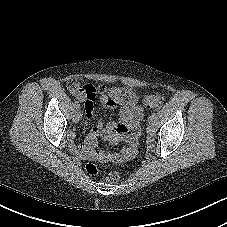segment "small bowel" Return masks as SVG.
Wrapping results in <instances>:
<instances>
[{
  "mask_svg": "<svg viewBox=\"0 0 227 227\" xmlns=\"http://www.w3.org/2000/svg\"><path fill=\"white\" fill-rule=\"evenodd\" d=\"M90 87H92V85L80 89L74 93V95L79 101L84 103L88 118L93 119L94 100L96 95H90ZM100 102L107 109H114L117 106V103L112 101L107 94H101ZM137 103L138 96L133 93L131 101L127 104H123L119 109L117 120L109 122L106 126H103L101 123L95 124L86 137L84 145L77 144L71 140V151L75 155L88 160L120 161L131 157L137 149L139 123L143 116L142 109ZM70 137L73 139L75 134L71 133ZM99 138L112 144L124 141L126 145L117 153L107 151L97 152L95 148Z\"/></svg>",
  "mask_w": 227,
  "mask_h": 227,
  "instance_id": "small-bowel-1",
  "label": "small bowel"
}]
</instances>
